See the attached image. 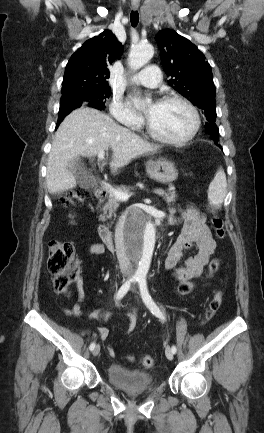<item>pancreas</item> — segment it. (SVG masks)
<instances>
[{
  "label": "pancreas",
  "mask_w": 264,
  "mask_h": 433,
  "mask_svg": "<svg viewBox=\"0 0 264 433\" xmlns=\"http://www.w3.org/2000/svg\"><path fill=\"white\" fill-rule=\"evenodd\" d=\"M130 188L126 187L121 189L120 191L129 192ZM161 196L167 203L175 201L177 197L176 191L174 187H171L168 191H163ZM120 200H118L112 193L109 192L108 202L104 204L102 207V215H100L99 219L105 221L106 219L111 218L112 216H116V210L119 207Z\"/></svg>",
  "instance_id": "1"
}]
</instances>
